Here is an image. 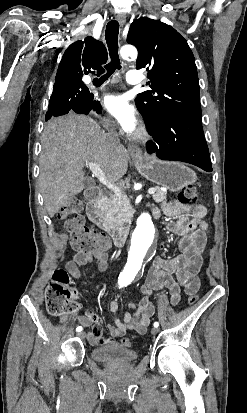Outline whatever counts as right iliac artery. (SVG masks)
<instances>
[{
    "label": "right iliac artery",
    "instance_id": "1",
    "mask_svg": "<svg viewBox=\"0 0 247 413\" xmlns=\"http://www.w3.org/2000/svg\"><path fill=\"white\" fill-rule=\"evenodd\" d=\"M82 329H83V328H82L81 326H78V327L76 328V331H77V332H80V331H82Z\"/></svg>",
    "mask_w": 247,
    "mask_h": 413
}]
</instances>
